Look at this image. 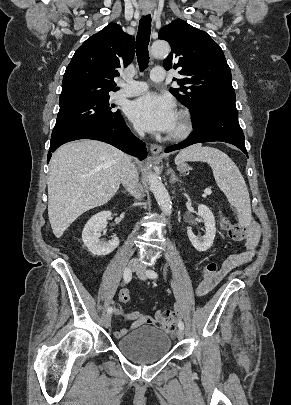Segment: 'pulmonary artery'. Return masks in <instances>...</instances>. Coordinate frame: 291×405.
I'll return each instance as SVG.
<instances>
[{
	"instance_id": "e3ab8cb5",
	"label": "pulmonary artery",
	"mask_w": 291,
	"mask_h": 405,
	"mask_svg": "<svg viewBox=\"0 0 291 405\" xmlns=\"http://www.w3.org/2000/svg\"><path fill=\"white\" fill-rule=\"evenodd\" d=\"M150 78L153 82H162L165 79V71L155 68L151 71ZM145 82L127 80L121 84V88L115 93V98L133 97L147 90Z\"/></svg>"
}]
</instances>
